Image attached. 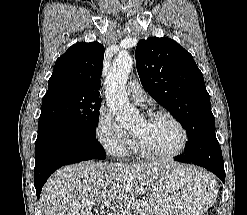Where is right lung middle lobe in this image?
<instances>
[{"mask_svg": "<svg viewBox=\"0 0 247 215\" xmlns=\"http://www.w3.org/2000/svg\"><path fill=\"white\" fill-rule=\"evenodd\" d=\"M101 98L63 88L49 91L42 100L38 128L58 124L96 136Z\"/></svg>", "mask_w": 247, "mask_h": 215, "instance_id": "1", "label": "right lung middle lobe"}]
</instances>
